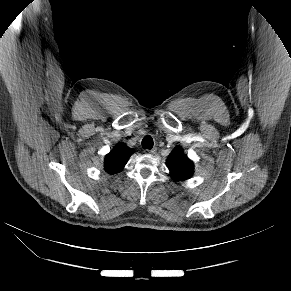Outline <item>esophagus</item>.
<instances>
[{"label": "esophagus", "mask_w": 291, "mask_h": 291, "mask_svg": "<svg viewBox=\"0 0 291 291\" xmlns=\"http://www.w3.org/2000/svg\"><path fill=\"white\" fill-rule=\"evenodd\" d=\"M156 148H153V149H151V150H149L148 152L150 153V154H155L156 153Z\"/></svg>", "instance_id": "1"}]
</instances>
